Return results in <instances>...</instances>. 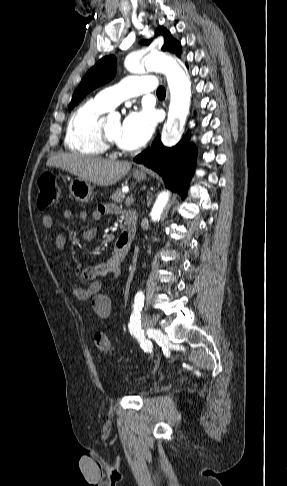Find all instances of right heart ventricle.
I'll list each match as a JSON object with an SVG mask.
<instances>
[{"label":"right heart ventricle","instance_id":"1","mask_svg":"<svg viewBox=\"0 0 287 486\" xmlns=\"http://www.w3.org/2000/svg\"><path fill=\"white\" fill-rule=\"evenodd\" d=\"M108 110L95 98L81 104L67 123V148L74 153L91 157L104 155L107 149L100 137V118Z\"/></svg>","mask_w":287,"mask_h":486}]
</instances>
